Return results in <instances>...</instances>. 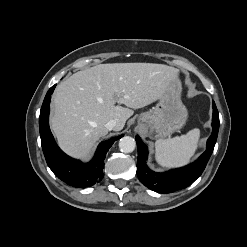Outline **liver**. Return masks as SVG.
I'll list each match as a JSON object with an SVG mask.
<instances>
[{"label":"liver","mask_w":247,"mask_h":247,"mask_svg":"<svg viewBox=\"0 0 247 247\" xmlns=\"http://www.w3.org/2000/svg\"><path fill=\"white\" fill-rule=\"evenodd\" d=\"M178 80V69L154 63L99 64L79 71L55 89L51 129L65 153L87 159L107 135L109 120L117 121L116 131L122 130L132 109L158 100Z\"/></svg>","instance_id":"liver-1"}]
</instances>
